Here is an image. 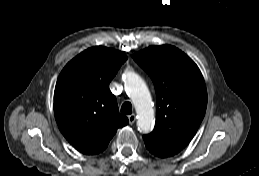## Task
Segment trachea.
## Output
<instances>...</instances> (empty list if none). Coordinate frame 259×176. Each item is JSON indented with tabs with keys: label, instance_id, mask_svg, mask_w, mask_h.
<instances>
[{
	"label": "trachea",
	"instance_id": "trachea-1",
	"mask_svg": "<svg viewBox=\"0 0 259 176\" xmlns=\"http://www.w3.org/2000/svg\"><path fill=\"white\" fill-rule=\"evenodd\" d=\"M121 112L126 115L131 114L132 113V104L130 102H125L121 107Z\"/></svg>",
	"mask_w": 259,
	"mask_h": 176
}]
</instances>
